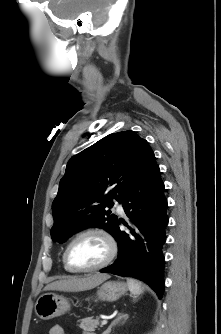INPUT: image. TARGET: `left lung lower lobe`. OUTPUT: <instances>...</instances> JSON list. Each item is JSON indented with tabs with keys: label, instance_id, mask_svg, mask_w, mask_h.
Wrapping results in <instances>:
<instances>
[{
	"label": "left lung lower lobe",
	"instance_id": "1",
	"mask_svg": "<svg viewBox=\"0 0 221 334\" xmlns=\"http://www.w3.org/2000/svg\"><path fill=\"white\" fill-rule=\"evenodd\" d=\"M164 183L155 158L132 185L122 200L130 219L129 233L121 231L119 222L113 231L118 242V258L100 272L140 279L161 298L164 288V255L167 199Z\"/></svg>",
	"mask_w": 221,
	"mask_h": 334
}]
</instances>
